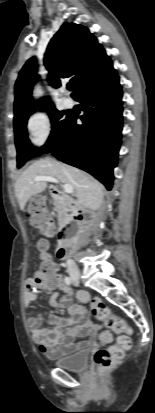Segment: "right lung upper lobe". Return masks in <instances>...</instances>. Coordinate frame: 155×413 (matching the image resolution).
<instances>
[{"instance_id": "cb5924a9", "label": "right lung upper lobe", "mask_w": 155, "mask_h": 413, "mask_svg": "<svg viewBox=\"0 0 155 413\" xmlns=\"http://www.w3.org/2000/svg\"><path fill=\"white\" fill-rule=\"evenodd\" d=\"M44 65L50 75L47 80L53 87H60L62 78H70L74 97L81 87L106 73L112 61L88 28L65 22L47 47ZM36 72L37 66L31 58L19 73L15 84L14 122L29 117L36 109L54 107L50 101L32 100V88L38 78Z\"/></svg>"}]
</instances>
